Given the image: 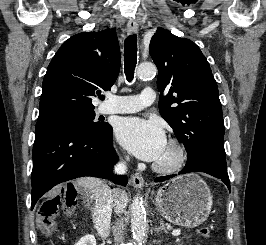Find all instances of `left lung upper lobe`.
Segmentation results:
<instances>
[{"label": "left lung upper lobe", "mask_w": 266, "mask_h": 245, "mask_svg": "<svg viewBox=\"0 0 266 245\" xmlns=\"http://www.w3.org/2000/svg\"><path fill=\"white\" fill-rule=\"evenodd\" d=\"M158 67L161 116L187 151V162L208 150L226 158L224 123L217 83L200 48L158 28L150 42ZM164 90H169L163 96Z\"/></svg>", "instance_id": "1"}]
</instances>
